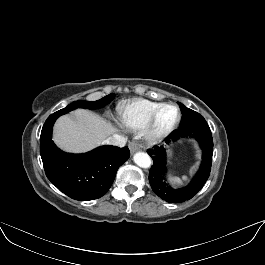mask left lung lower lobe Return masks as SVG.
I'll return each mask as SVG.
<instances>
[{"label":"left lung lower lobe","instance_id":"left-lung-lower-lobe-1","mask_svg":"<svg viewBox=\"0 0 265 265\" xmlns=\"http://www.w3.org/2000/svg\"><path fill=\"white\" fill-rule=\"evenodd\" d=\"M194 137L202 149V162L193 179L184 187L173 188L166 178L167 158L163 146H154L147 152L153 159L149 171V182L154 193L169 203H181L194 197L206 183L212 164L213 139L211 130L205 119L199 120L185 128H178L166 139V144L176 141L181 137Z\"/></svg>","mask_w":265,"mask_h":265}]
</instances>
